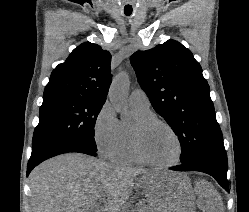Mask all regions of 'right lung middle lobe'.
<instances>
[{
	"label": "right lung middle lobe",
	"mask_w": 249,
	"mask_h": 212,
	"mask_svg": "<svg viewBox=\"0 0 249 212\" xmlns=\"http://www.w3.org/2000/svg\"><path fill=\"white\" fill-rule=\"evenodd\" d=\"M103 104L81 96L43 98L32 146L56 139H72L95 156L94 126Z\"/></svg>",
	"instance_id": "1"
}]
</instances>
